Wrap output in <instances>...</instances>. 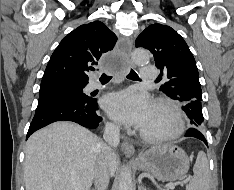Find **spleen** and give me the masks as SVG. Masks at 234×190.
<instances>
[{
  "label": "spleen",
  "instance_id": "spleen-1",
  "mask_svg": "<svg viewBox=\"0 0 234 190\" xmlns=\"http://www.w3.org/2000/svg\"><path fill=\"white\" fill-rule=\"evenodd\" d=\"M194 176L186 190H210V171L206 154L199 151L193 167Z\"/></svg>",
  "mask_w": 234,
  "mask_h": 190
}]
</instances>
